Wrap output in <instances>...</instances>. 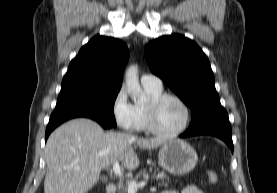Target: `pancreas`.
<instances>
[{"mask_svg": "<svg viewBox=\"0 0 277 193\" xmlns=\"http://www.w3.org/2000/svg\"><path fill=\"white\" fill-rule=\"evenodd\" d=\"M147 176H148V172L146 171V169H143L135 175L133 180L137 181L138 179L145 178ZM154 178L159 180V185H162V186L168 185L169 178L165 172L157 170V175L154 176ZM127 191H128V186L126 184H123L120 182L118 185V192L119 193H127Z\"/></svg>", "mask_w": 277, "mask_h": 193, "instance_id": "pancreas-1", "label": "pancreas"}]
</instances>
